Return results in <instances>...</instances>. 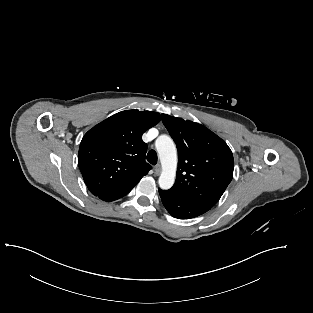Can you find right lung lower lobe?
Masks as SVG:
<instances>
[{"instance_id": "1", "label": "right lung lower lobe", "mask_w": 313, "mask_h": 313, "mask_svg": "<svg viewBox=\"0 0 313 313\" xmlns=\"http://www.w3.org/2000/svg\"><path fill=\"white\" fill-rule=\"evenodd\" d=\"M135 185L136 184H132V185L126 186V187L121 188V189L107 192V193H104L102 195H99L98 197L104 201H107V202L114 201V200H117V199L125 196L126 194H128L133 189V187Z\"/></svg>"}]
</instances>
